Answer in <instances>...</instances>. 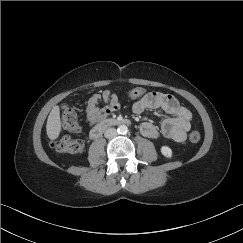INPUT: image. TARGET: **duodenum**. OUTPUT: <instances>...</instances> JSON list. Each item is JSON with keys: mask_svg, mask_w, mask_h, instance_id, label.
Instances as JSON below:
<instances>
[{"mask_svg": "<svg viewBox=\"0 0 243 243\" xmlns=\"http://www.w3.org/2000/svg\"><path fill=\"white\" fill-rule=\"evenodd\" d=\"M129 123V120L127 119L109 118L102 120L91 129L90 138L93 140H97L101 137V135L106 129L112 126L127 125Z\"/></svg>", "mask_w": 243, "mask_h": 243, "instance_id": "1", "label": "duodenum"}]
</instances>
